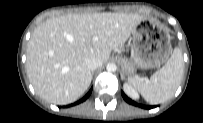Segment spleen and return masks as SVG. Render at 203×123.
<instances>
[{
  "instance_id": "spleen-1",
  "label": "spleen",
  "mask_w": 203,
  "mask_h": 123,
  "mask_svg": "<svg viewBox=\"0 0 203 123\" xmlns=\"http://www.w3.org/2000/svg\"><path fill=\"white\" fill-rule=\"evenodd\" d=\"M184 62L179 48H175L165 65L150 79L129 78V82L150 104H159L170 99L183 76Z\"/></svg>"
}]
</instances>
